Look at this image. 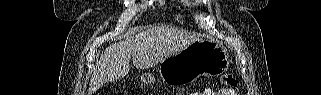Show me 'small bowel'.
I'll use <instances>...</instances> for the list:
<instances>
[{
  "label": "small bowel",
  "mask_w": 321,
  "mask_h": 95,
  "mask_svg": "<svg viewBox=\"0 0 321 95\" xmlns=\"http://www.w3.org/2000/svg\"><path fill=\"white\" fill-rule=\"evenodd\" d=\"M202 95H233V91L232 90H220V91L206 90Z\"/></svg>",
  "instance_id": "c3829d8e"
}]
</instances>
